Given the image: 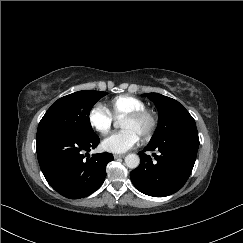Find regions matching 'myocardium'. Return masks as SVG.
I'll return each mask as SVG.
<instances>
[{
    "label": "myocardium",
    "instance_id": "1",
    "mask_svg": "<svg viewBox=\"0 0 243 243\" xmlns=\"http://www.w3.org/2000/svg\"><path fill=\"white\" fill-rule=\"evenodd\" d=\"M123 119H128L132 121L146 120L148 122V129L144 134V136L141 138L143 142H146L151 139L158 126V121L156 116L147 110L132 112L124 116Z\"/></svg>",
    "mask_w": 243,
    "mask_h": 243
}]
</instances>
